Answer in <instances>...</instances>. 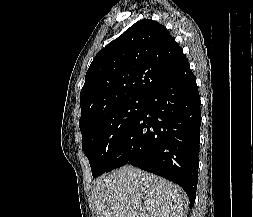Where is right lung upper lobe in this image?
<instances>
[{
	"instance_id": "cb5924a9",
	"label": "right lung upper lobe",
	"mask_w": 253,
	"mask_h": 217,
	"mask_svg": "<svg viewBox=\"0 0 253 217\" xmlns=\"http://www.w3.org/2000/svg\"><path fill=\"white\" fill-rule=\"evenodd\" d=\"M186 61L165 26L150 19L136 22L92 61L80 94L79 125L120 101L146 97Z\"/></svg>"
}]
</instances>
